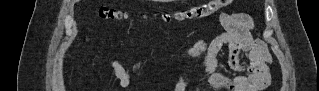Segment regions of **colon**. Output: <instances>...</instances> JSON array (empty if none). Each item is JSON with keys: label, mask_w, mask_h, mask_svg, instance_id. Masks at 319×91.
<instances>
[{"label": "colon", "mask_w": 319, "mask_h": 91, "mask_svg": "<svg viewBox=\"0 0 319 91\" xmlns=\"http://www.w3.org/2000/svg\"><path fill=\"white\" fill-rule=\"evenodd\" d=\"M224 0L209 1L203 4L192 6L185 10H180L172 13H166L163 15L165 19L185 20L203 18L211 13L217 11L221 6L225 4ZM99 17L106 20H121L125 17V14L117 9L103 7L99 10ZM269 59H267V62Z\"/></svg>", "instance_id": "5ec220e1"}]
</instances>
